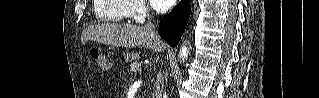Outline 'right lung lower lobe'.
Returning a JSON list of instances; mask_svg holds the SVG:
<instances>
[{
	"instance_id": "1",
	"label": "right lung lower lobe",
	"mask_w": 319,
	"mask_h": 98,
	"mask_svg": "<svg viewBox=\"0 0 319 98\" xmlns=\"http://www.w3.org/2000/svg\"><path fill=\"white\" fill-rule=\"evenodd\" d=\"M190 13V2L185 0L161 20L159 34L169 45L177 46L186 28Z\"/></svg>"
}]
</instances>
